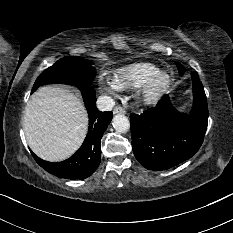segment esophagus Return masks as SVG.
Wrapping results in <instances>:
<instances>
[{"mask_svg": "<svg viewBox=\"0 0 233 233\" xmlns=\"http://www.w3.org/2000/svg\"><path fill=\"white\" fill-rule=\"evenodd\" d=\"M113 113L114 114H124L125 113V109L122 106L118 105V106H116L114 108Z\"/></svg>", "mask_w": 233, "mask_h": 233, "instance_id": "34e87169", "label": "esophagus"}]
</instances>
